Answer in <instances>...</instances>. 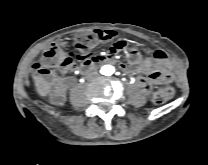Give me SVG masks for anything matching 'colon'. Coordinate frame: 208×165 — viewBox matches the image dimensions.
Masks as SVG:
<instances>
[{
	"instance_id": "obj_1",
	"label": "colon",
	"mask_w": 208,
	"mask_h": 165,
	"mask_svg": "<svg viewBox=\"0 0 208 165\" xmlns=\"http://www.w3.org/2000/svg\"><path fill=\"white\" fill-rule=\"evenodd\" d=\"M110 37L101 30L79 32L74 36V50L70 52H67L62 44L53 42L45 48L40 60L33 64V71L47 79L54 99L61 98L64 94L65 84L56 78V71L68 68L75 61L80 62L82 58L93 57L94 46ZM172 96L173 89L163 87L155 91L153 100L156 104H163Z\"/></svg>"
}]
</instances>
